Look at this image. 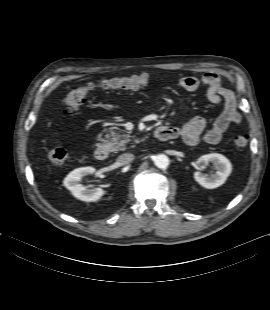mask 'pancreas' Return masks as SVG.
Instances as JSON below:
<instances>
[{"label": "pancreas", "instance_id": "pancreas-1", "mask_svg": "<svg viewBox=\"0 0 270 310\" xmlns=\"http://www.w3.org/2000/svg\"><path fill=\"white\" fill-rule=\"evenodd\" d=\"M109 140L105 141L107 148L112 152L126 150V145L131 144L134 136L131 132L121 130L119 128H111L110 135H107Z\"/></svg>", "mask_w": 270, "mask_h": 310}]
</instances>
